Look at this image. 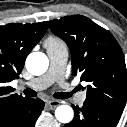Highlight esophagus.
<instances>
[{
  "label": "esophagus",
  "instance_id": "1",
  "mask_svg": "<svg viewBox=\"0 0 127 127\" xmlns=\"http://www.w3.org/2000/svg\"><path fill=\"white\" fill-rule=\"evenodd\" d=\"M60 104V101L58 100H49L47 101L46 105L49 109L53 110Z\"/></svg>",
  "mask_w": 127,
  "mask_h": 127
}]
</instances>
